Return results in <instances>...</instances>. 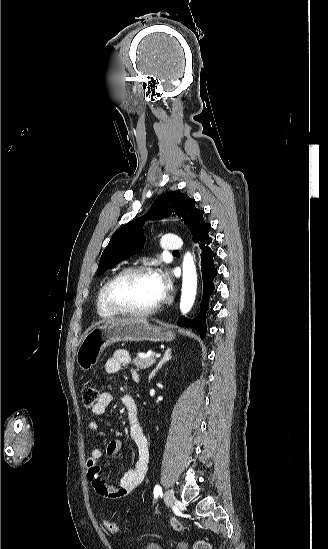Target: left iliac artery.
I'll list each match as a JSON object with an SVG mask.
<instances>
[{"instance_id":"obj_1","label":"left iliac artery","mask_w":328,"mask_h":549,"mask_svg":"<svg viewBox=\"0 0 328 549\" xmlns=\"http://www.w3.org/2000/svg\"><path fill=\"white\" fill-rule=\"evenodd\" d=\"M160 493H162V489L159 485H156L154 488V497L157 498Z\"/></svg>"}]
</instances>
